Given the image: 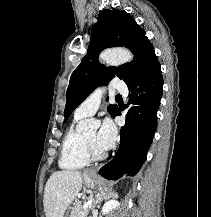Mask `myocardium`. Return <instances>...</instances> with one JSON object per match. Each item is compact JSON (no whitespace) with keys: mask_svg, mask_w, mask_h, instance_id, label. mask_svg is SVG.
<instances>
[{"mask_svg":"<svg viewBox=\"0 0 211 217\" xmlns=\"http://www.w3.org/2000/svg\"><path fill=\"white\" fill-rule=\"evenodd\" d=\"M84 145L86 153L90 160L99 161L106 157L104 151L97 150L94 145L84 136Z\"/></svg>","mask_w":211,"mask_h":217,"instance_id":"f54148a6","label":"myocardium"}]
</instances>
